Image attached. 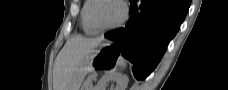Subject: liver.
I'll return each mask as SVG.
<instances>
[{
	"label": "liver",
	"instance_id": "6515ba94",
	"mask_svg": "<svg viewBox=\"0 0 228 90\" xmlns=\"http://www.w3.org/2000/svg\"><path fill=\"white\" fill-rule=\"evenodd\" d=\"M103 40V37L86 38L75 35L66 42L55 60L53 69L54 90H66L77 66Z\"/></svg>",
	"mask_w": 228,
	"mask_h": 90
}]
</instances>
